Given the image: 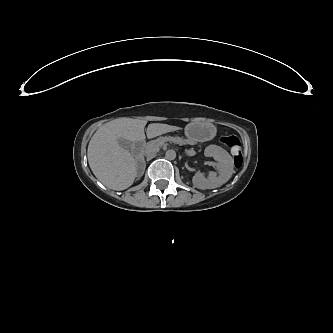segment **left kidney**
<instances>
[{"instance_id": "1", "label": "left kidney", "mask_w": 333, "mask_h": 333, "mask_svg": "<svg viewBox=\"0 0 333 333\" xmlns=\"http://www.w3.org/2000/svg\"><path fill=\"white\" fill-rule=\"evenodd\" d=\"M205 151L206 157H213L215 162H212V166L216 168V171L210 172L206 175L203 172L197 171L193 178V185L201 190L214 189L225 184L232 176V162L227 158L224 149L216 147L213 152Z\"/></svg>"}]
</instances>
